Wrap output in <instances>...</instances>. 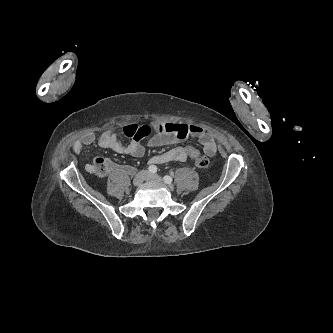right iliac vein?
<instances>
[{
    "label": "right iliac vein",
    "mask_w": 333,
    "mask_h": 333,
    "mask_svg": "<svg viewBox=\"0 0 333 333\" xmlns=\"http://www.w3.org/2000/svg\"><path fill=\"white\" fill-rule=\"evenodd\" d=\"M148 172L146 171H140L139 173L136 174L133 180V184L135 186H140L142 183L146 180Z\"/></svg>",
    "instance_id": "right-iliac-vein-1"
}]
</instances>
